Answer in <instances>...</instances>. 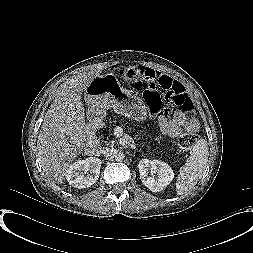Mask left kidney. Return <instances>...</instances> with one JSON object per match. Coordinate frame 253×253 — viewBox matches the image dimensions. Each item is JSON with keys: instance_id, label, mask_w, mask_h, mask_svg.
I'll return each instance as SVG.
<instances>
[{"instance_id": "5707ae66", "label": "left kidney", "mask_w": 253, "mask_h": 253, "mask_svg": "<svg viewBox=\"0 0 253 253\" xmlns=\"http://www.w3.org/2000/svg\"><path fill=\"white\" fill-rule=\"evenodd\" d=\"M138 168L142 183L152 192L162 191L174 178L172 168L161 160L142 159Z\"/></svg>"}]
</instances>
